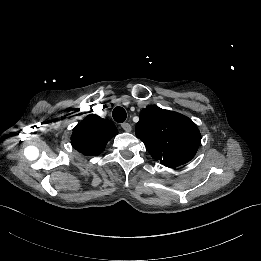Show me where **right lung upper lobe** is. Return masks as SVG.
<instances>
[{"label": "right lung upper lobe", "instance_id": "right-lung-upper-lobe-1", "mask_svg": "<svg viewBox=\"0 0 261 261\" xmlns=\"http://www.w3.org/2000/svg\"><path fill=\"white\" fill-rule=\"evenodd\" d=\"M118 133L115 125L97 115H88L73 129L72 146L86 156L103 152L107 142Z\"/></svg>", "mask_w": 261, "mask_h": 261}]
</instances>
